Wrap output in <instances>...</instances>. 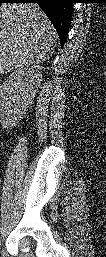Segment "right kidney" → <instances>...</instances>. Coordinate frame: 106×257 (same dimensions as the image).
Returning a JSON list of instances; mask_svg holds the SVG:
<instances>
[{"label": "right kidney", "mask_w": 106, "mask_h": 257, "mask_svg": "<svg viewBox=\"0 0 106 257\" xmlns=\"http://www.w3.org/2000/svg\"><path fill=\"white\" fill-rule=\"evenodd\" d=\"M42 78L39 65L21 66L0 86V106L4 123L15 124L35 96Z\"/></svg>", "instance_id": "obj_1"}]
</instances>
